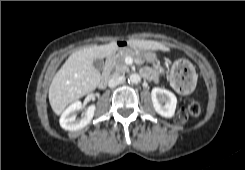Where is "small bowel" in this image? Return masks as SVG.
Returning <instances> with one entry per match:
<instances>
[{
  "label": "small bowel",
  "instance_id": "c3829d8e",
  "mask_svg": "<svg viewBox=\"0 0 245 170\" xmlns=\"http://www.w3.org/2000/svg\"><path fill=\"white\" fill-rule=\"evenodd\" d=\"M144 75L147 76V77H149V78L152 77L149 70H144Z\"/></svg>",
  "mask_w": 245,
  "mask_h": 170
}]
</instances>
